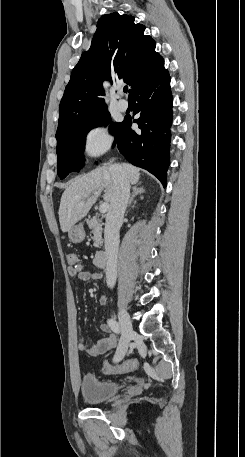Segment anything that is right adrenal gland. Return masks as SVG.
<instances>
[{
	"label": "right adrenal gland",
	"mask_w": 245,
	"mask_h": 457,
	"mask_svg": "<svg viewBox=\"0 0 245 457\" xmlns=\"http://www.w3.org/2000/svg\"><path fill=\"white\" fill-rule=\"evenodd\" d=\"M132 188H133V194H132V196H130L127 206H131L132 200H134V196H136V194H141V192H145V188H143V186H132ZM133 206H134V204H132V208H133Z\"/></svg>",
	"instance_id": "2a0ac1e0"
}]
</instances>
